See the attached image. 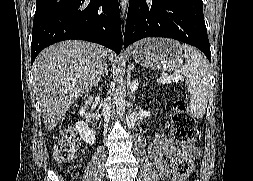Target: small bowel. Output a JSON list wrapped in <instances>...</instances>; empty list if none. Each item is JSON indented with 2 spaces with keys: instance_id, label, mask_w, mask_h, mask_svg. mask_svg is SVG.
Returning a JSON list of instances; mask_svg holds the SVG:
<instances>
[{
  "instance_id": "1",
  "label": "small bowel",
  "mask_w": 253,
  "mask_h": 181,
  "mask_svg": "<svg viewBox=\"0 0 253 181\" xmlns=\"http://www.w3.org/2000/svg\"><path fill=\"white\" fill-rule=\"evenodd\" d=\"M199 149L172 142L164 135L156 136L149 146V155L161 179L171 174L177 162L184 156L199 157Z\"/></svg>"
}]
</instances>
